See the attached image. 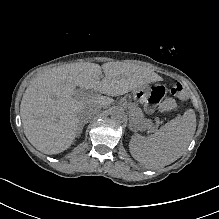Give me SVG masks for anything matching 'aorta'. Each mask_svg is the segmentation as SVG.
Returning a JSON list of instances; mask_svg holds the SVG:
<instances>
[{
    "label": "aorta",
    "mask_w": 219,
    "mask_h": 219,
    "mask_svg": "<svg viewBox=\"0 0 219 219\" xmlns=\"http://www.w3.org/2000/svg\"><path fill=\"white\" fill-rule=\"evenodd\" d=\"M110 117L114 122L117 123H123L127 120V115L124 111V109L118 107V106H113L110 108Z\"/></svg>",
    "instance_id": "obj_1"
}]
</instances>
